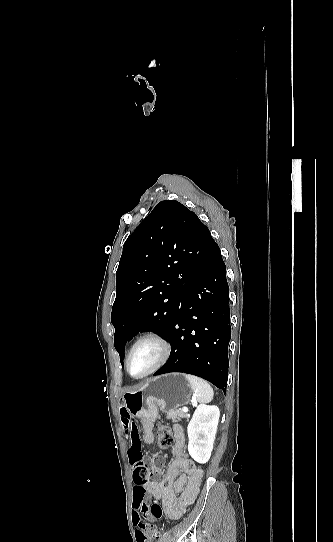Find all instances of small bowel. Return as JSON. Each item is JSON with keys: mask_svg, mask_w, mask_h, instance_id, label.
Masks as SVG:
<instances>
[{"mask_svg": "<svg viewBox=\"0 0 333 542\" xmlns=\"http://www.w3.org/2000/svg\"><path fill=\"white\" fill-rule=\"evenodd\" d=\"M120 416L123 431L129 442V460L135 465L143 457V452L139 449L141 447V439L135 424L136 417L131 410L125 408L120 409ZM142 422L144 428L142 441L145 444H151L154 441L153 423L147 418ZM174 435L175 441L171 449L173 459L169 463L163 479L148 482L144 485V488L161 502L168 518L177 520L195 502L200 490L203 468L186 455L184 451L186 439L183 429L180 426L174 427ZM145 460L151 461L152 455L146 454ZM156 460L163 462L165 455L158 453ZM151 468L157 474L161 472V469L154 466L153 461L151 462ZM177 495H179L178 498ZM134 521L132 528L138 529L137 515L134 516Z\"/></svg>", "mask_w": 333, "mask_h": 542, "instance_id": "small-bowel-1", "label": "small bowel"}]
</instances>
